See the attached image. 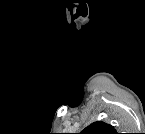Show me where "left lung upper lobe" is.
<instances>
[{
  "mask_svg": "<svg viewBox=\"0 0 145 134\" xmlns=\"http://www.w3.org/2000/svg\"><path fill=\"white\" fill-rule=\"evenodd\" d=\"M81 134H117V132L112 125L96 121L87 126Z\"/></svg>",
  "mask_w": 145,
  "mask_h": 134,
  "instance_id": "1",
  "label": "left lung upper lobe"
}]
</instances>
